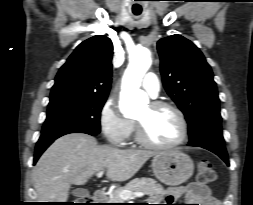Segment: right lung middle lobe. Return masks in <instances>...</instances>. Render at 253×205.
Instances as JSON below:
<instances>
[{"mask_svg":"<svg viewBox=\"0 0 253 205\" xmlns=\"http://www.w3.org/2000/svg\"><path fill=\"white\" fill-rule=\"evenodd\" d=\"M106 97L69 96L50 100L42 134L62 130L100 132V113Z\"/></svg>","mask_w":253,"mask_h":205,"instance_id":"obj_1","label":"right lung middle lobe"}]
</instances>
